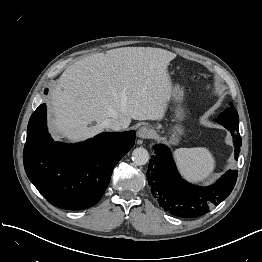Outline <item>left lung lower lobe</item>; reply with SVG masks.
I'll return each mask as SVG.
<instances>
[{
	"label": "left lung lower lobe",
	"mask_w": 262,
	"mask_h": 262,
	"mask_svg": "<svg viewBox=\"0 0 262 262\" xmlns=\"http://www.w3.org/2000/svg\"><path fill=\"white\" fill-rule=\"evenodd\" d=\"M227 128V127H226ZM235 139V159H237L242 139L239 128H227ZM147 180L152 195L159 205L171 215L182 218H195L226 199L237 180V170H229L210 186L193 185L181 178L169 148L163 144L154 146Z\"/></svg>",
	"instance_id": "left-lung-lower-lobe-1"
}]
</instances>
